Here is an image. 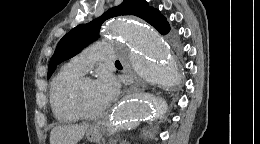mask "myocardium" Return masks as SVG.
<instances>
[{
  "label": "myocardium",
  "mask_w": 260,
  "mask_h": 144,
  "mask_svg": "<svg viewBox=\"0 0 260 144\" xmlns=\"http://www.w3.org/2000/svg\"><path fill=\"white\" fill-rule=\"evenodd\" d=\"M87 82H93V80L83 77L76 83L72 97V107L79 117L86 120H95L104 114L105 108L98 112H90L86 109L83 102V88Z\"/></svg>",
  "instance_id": "obj_1"
}]
</instances>
